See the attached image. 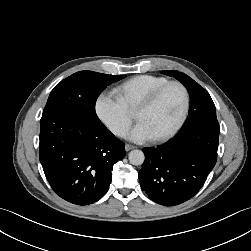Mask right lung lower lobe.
Listing matches in <instances>:
<instances>
[{"mask_svg": "<svg viewBox=\"0 0 251 251\" xmlns=\"http://www.w3.org/2000/svg\"><path fill=\"white\" fill-rule=\"evenodd\" d=\"M125 144L98 118L75 110L41 118L39 159L57 195L76 205L98 201L109 189Z\"/></svg>", "mask_w": 251, "mask_h": 251, "instance_id": "right-lung-lower-lobe-1", "label": "right lung lower lobe"}]
</instances>
